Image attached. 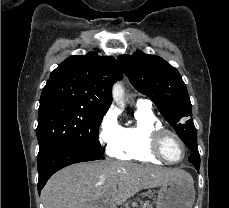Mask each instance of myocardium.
<instances>
[{"label":"myocardium","mask_w":229,"mask_h":208,"mask_svg":"<svg viewBox=\"0 0 229 208\" xmlns=\"http://www.w3.org/2000/svg\"><path fill=\"white\" fill-rule=\"evenodd\" d=\"M168 134H172L177 137L173 139V142L178 143V147H184V155L178 161L172 160L170 157H166V154L162 151V148L164 147L163 140ZM153 141L154 143H152V148H149V153H154V158H162L165 162L169 164H180L186 159L188 154L187 144L185 140L174 130L164 127L157 129L153 134Z\"/></svg>","instance_id":"f54148a6"}]
</instances>
